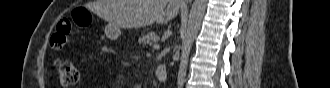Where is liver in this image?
Returning <instances> with one entry per match:
<instances>
[{
	"label": "liver",
	"instance_id": "1",
	"mask_svg": "<svg viewBox=\"0 0 330 88\" xmlns=\"http://www.w3.org/2000/svg\"><path fill=\"white\" fill-rule=\"evenodd\" d=\"M97 13L110 25L131 29L174 19L180 0H99Z\"/></svg>",
	"mask_w": 330,
	"mask_h": 88
}]
</instances>
